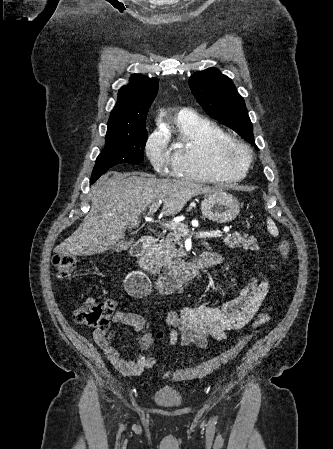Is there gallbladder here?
I'll return each mask as SVG.
<instances>
[{
  "instance_id": "gallbladder-1",
  "label": "gallbladder",
  "mask_w": 333,
  "mask_h": 449,
  "mask_svg": "<svg viewBox=\"0 0 333 449\" xmlns=\"http://www.w3.org/2000/svg\"><path fill=\"white\" fill-rule=\"evenodd\" d=\"M129 246V244L126 241H119L117 242L116 245L111 246L110 250L114 251V252H120L122 250L127 249Z\"/></svg>"
}]
</instances>
